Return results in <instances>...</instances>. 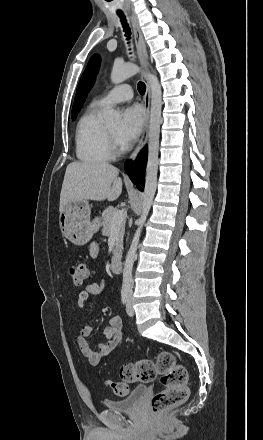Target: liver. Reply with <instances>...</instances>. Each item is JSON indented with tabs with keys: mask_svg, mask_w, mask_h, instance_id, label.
I'll list each match as a JSON object with an SVG mask.
<instances>
[{
	"mask_svg": "<svg viewBox=\"0 0 263 440\" xmlns=\"http://www.w3.org/2000/svg\"><path fill=\"white\" fill-rule=\"evenodd\" d=\"M119 170L107 162H72L65 172L60 193L61 212L70 201L116 200L122 193Z\"/></svg>",
	"mask_w": 263,
	"mask_h": 440,
	"instance_id": "6515ba94",
	"label": "liver"
}]
</instances>
